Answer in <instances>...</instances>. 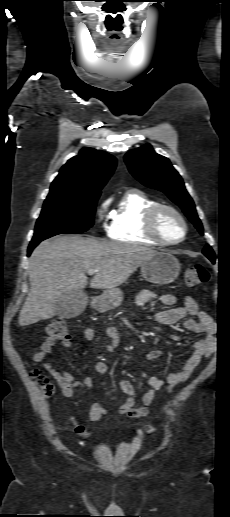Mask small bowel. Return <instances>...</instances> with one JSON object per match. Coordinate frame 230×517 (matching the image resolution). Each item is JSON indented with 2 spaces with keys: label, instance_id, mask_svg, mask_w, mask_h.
<instances>
[{
  "label": "small bowel",
  "instance_id": "small-bowel-1",
  "mask_svg": "<svg viewBox=\"0 0 230 517\" xmlns=\"http://www.w3.org/2000/svg\"><path fill=\"white\" fill-rule=\"evenodd\" d=\"M153 299H158L163 305L171 307L155 314L154 321L156 323L170 325L183 321L187 330L193 333L203 334L204 338L194 343L191 356L179 371L169 374L164 379L152 377L149 380L150 388L144 393H137L128 379L122 378L119 380L118 385L122 393L126 396L125 402L119 407V413L132 418H140L148 415V407L154 401L157 391L164 390L166 393H172L176 388L181 386L201 362L208 359L217 348V325L206 312L198 307L196 301L191 296H186L183 305L180 307H172L176 302V298L172 294L157 296L152 291L143 290L137 297V301L140 305H144ZM82 335L83 338L88 341L95 338L94 330L89 327L83 330ZM106 336L110 338V342L104 345V349L110 353H116L120 345V333L118 329L116 327H109L106 330ZM170 338L175 341L180 340L176 335H170ZM55 343L56 340L53 338L45 339L41 344L40 350L33 355L32 360L35 363L44 364L45 369L55 377L61 388L62 395L65 398L71 397L77 388L85 389L92 394L94 383L91 378L77 381L71 374L56 369L47 360V355ZM64 343L65 345H69L70 341H64ZM161 354V350H152L148 353L147 357L149 359H157ZM94 369L98 374H106L109 370V366L104 361H98L95 363ZM118 398L119 395L117 394L109 396V400L111 401H115ZM137 404H140V406H136ZM106 413L102 404L96 399H92L89 408L90 420L98 422ZM69 422L72 424L76 434L81 438L88 439L90 437V433L74 416L69 417Z\"/></svg>",
  "mask_w": 230,
  "mask_h": 517
}]
</instances>
